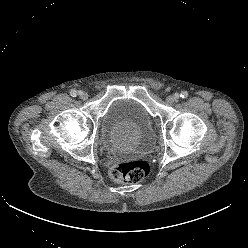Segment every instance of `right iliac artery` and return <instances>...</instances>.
<instances>
[{
	"label": "right iliac artery",
	"mask_w": 248,
	"mask_h": 248,
	"mask_svg": "<svg viewBox=\"0 0 248 248\" xmlns=\"http://www.w3.org/2000/svg\"><path fill=\"white\" fill-rule=\"evenodd\" d=\"M78 94V92L76 90H71L70 91V95L73 96V97H76Z\"/></svg>",
	"instance_id": "obj_1"
}]
</instances>
